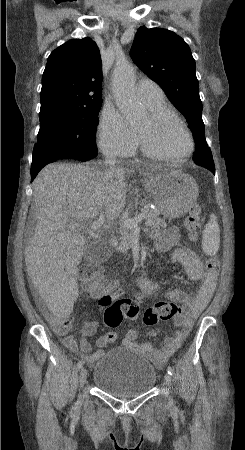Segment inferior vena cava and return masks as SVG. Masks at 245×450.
I'll return each mask as SVG.
<instances>
[{
  "label": "inferior vena cava",
  "instance_id": "602c4592",
  "mask_svg": "<svg viewBox=\"0 0 245 450\" xmlns=\"http://www.w3.org/2000/svg\"><path fill=\"white\" fill-rule=\"evenodd\" d=\"M117 163L116 158L113 155H106L105 156V164L109 165L110 171H115V165Z\"/></svg>",
  "mask_w": 245,
  "mask_h": 450
}]
</instances>
